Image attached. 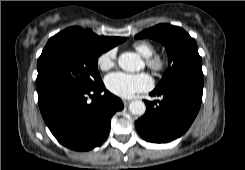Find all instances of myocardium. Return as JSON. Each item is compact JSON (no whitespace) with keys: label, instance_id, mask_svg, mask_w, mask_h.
<instances>
[{"label":"myocardium","instance_id":"myocardium-1","mask_svg":"<svg viewBox=\"0 0 245 170\" xmlns=\"http://www.w3.org/2000/svg\"><path fill=\"white\" fill-rule=\"evenodd\" d=\"M146 64L154 71H162L167 64V60L160 54H154L149 58H146Z\"/></svg>","mask_w":245,"mask_h":170}]
</instances>
